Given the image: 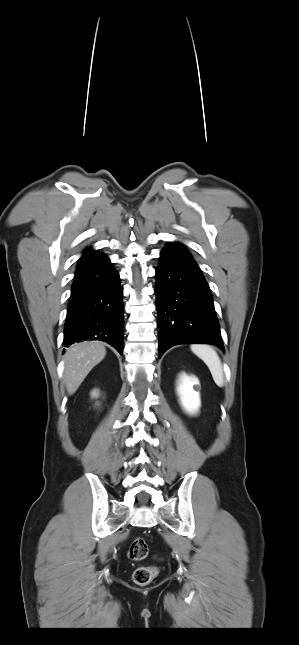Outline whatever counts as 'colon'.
<instances>
[{
	"instance_id": "1",
	"label": "colon",
	"mask_w": 299,
	"mask_h": 645,
	"mask_svg": "<svg viewBox=\"0 0 299 645\" xmlns=\"http://www.w3.org/2000/svg\"><path fill=\"white\" fill-rule=\"evenodd\" d=\"M148 555V545L142 537L133 539L128 556L133 561H142ZM158 574V569L155 566H141L133 572V581L139 586L148 585Z\"/></svg>"
}]
</instances>
